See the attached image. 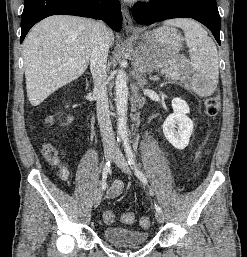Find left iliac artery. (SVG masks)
Segmentation results:
<instances>
[{
  "label": "left iliac artery",
  "mask_w": 247,
  "mask_h": 257,
  "mask_svg": "<svg viewBox=\"0 0 247 257\" xmlns=\"http://www.w3.org/2000/svg\"><path fill=\"white\" fill-rule=\"evenodd\" d=\"M123 142H124V148H125L126 156H127L130 167L134 170V173L138 177V179L142 183L147 184V179H146L145 174L138 168V166L135 162L129 140L127 138H125V139H123ZM154 206H155L156 211H161V207L159 205L155 204Z\"/></svg>",
  "instance_id": "44dca946"
}]
</instances>
